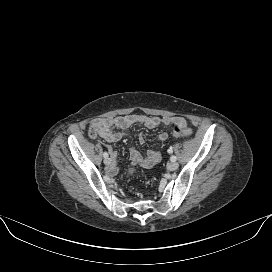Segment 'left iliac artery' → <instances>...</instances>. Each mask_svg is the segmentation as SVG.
<instances>
[{"label":"left iliac artery","instance_id":"44dca946","mask_svg":"<svg viewBox=\"0 0 272 272\" xmlns=\"http://www.w3.org/2000/svg\"><path fill=\"white\" fill-rule=\"evenodd\" d=\"M173 151H172V148H169L168 149V153H172ZM176 156H171V158H170V160L172 161V162H175L176 161Z\"/></svg>","mask_w":272,"mask_h":272}]
</instances>
